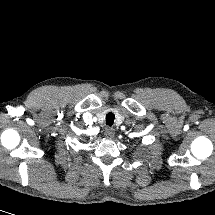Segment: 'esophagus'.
<instances>
[{"instance_id": "1", "label": "esophagus", "mask_w": 215, "mask_h": 215, "mask_svg": "<svg viewBox=\"0 0 215 215\" xmlns=\"http://www.w3.org/2000/svg\"><path fill=\"white\" fill-rule=\"evenodd\" d=\"M104 135L107 138H113L114 135H115V130L113 128L108 127V128L105 129Z\"/></svg>"}]
</instances>
